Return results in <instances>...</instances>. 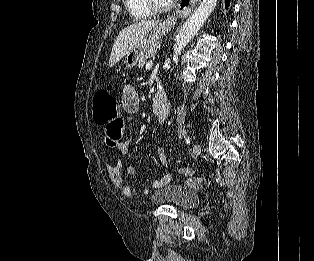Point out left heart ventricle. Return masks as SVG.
Listing matches in <instances>:
<instances>
[{"label": "left heart ventricle", "instance_id": "left-heart-ventricle-1", "mask_svg": "<svg viewBox=\"0 0 314 261\" xmlns=\"http://www.w3.org/2000/svg\"><path fill=\"white\" fill-rule=\"evenodd\" d=\"M159 4H166L168 3L170 0H156Z\"/></svg>", "mask_w": 314, "mask_h": 261}]
</instances>
